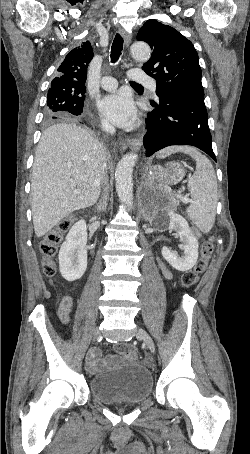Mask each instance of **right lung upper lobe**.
I'll use <instances>...</instances> for the list:
<instances>
[{
    "label": "right lung upper lobe",
    "mask_w": 250,
    "mask_h": 454,
    "mask_svg": "<svg viewBox=\"0 0 250 454\" xmlns=\"http://www.w3.org/2000/svg\"><path fill=\"white\" fill-rule=\"evenodd\" d=\"M92 58L93 49L89 41L71 50L59 66L50 88L73 91L85 87L87 68Z\"/></svg>",
    "instance_id": "cb5924a9"
}]
</instances>
